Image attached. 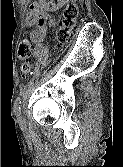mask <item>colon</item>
<instances>
[{
    "instance_id": "colon-1",
    "label": "colon",
    "mask_w": 123,
    "mask_h": 167,
    "mask_svg": "<svg viewBox=\"0 0 123 167\" xmlns=\"http://www.w3.org/2000/svg\"><path fill=\"white\" fill-rule=\"evenodd\" d=\"M79 9L77 4L72 0L65 7L62 19L57 30L56 41L58 46L65 45L71 36V32L75 26ZM31 52V44L29 40L24 39L18 47V56L22 60L21 72L23 77H29L33 74V63L29 58Z\"/></svg>"
}]
</instances>
